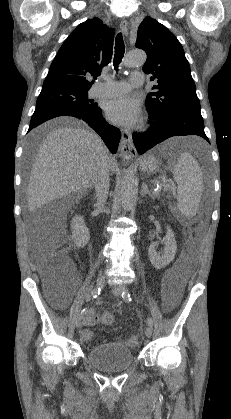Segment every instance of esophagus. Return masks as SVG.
Wrapping results in <instances>:
<instances>
[{
  "label": "esophagus",
  "mask_w": 231,
  "mask_h": 419,
  "mask_svg": "<svg viewBox=\"0 0 231 419\" xmlns=\"http://www.w3.org/2000/svg\"><path fill=\"white\" fill-rule=\"evenodd\" d=\"M120 29L125 35L128 34V22L126 20L123 19L120 22ZM119 150L121 157L126 160H131L137 156V150L133 144L131 132L127 129L122 130Z\"/></svg>",
  "instance_id": "1"
}]
</instances>
